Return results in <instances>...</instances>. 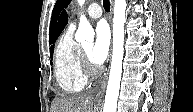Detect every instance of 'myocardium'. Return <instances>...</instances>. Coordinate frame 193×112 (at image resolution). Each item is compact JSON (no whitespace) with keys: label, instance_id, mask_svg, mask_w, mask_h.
I'll return each instance as SVG.
<instances>
[{"label":"myocardium","instance_id":"1","mask_svg":"<svg viewBox=\"0 0 193 112\" xmlns=\"http://www.w3.org/2000/svg\"><path fill=\"white\" fill-rule=\"evenodd\" d=\"M80 63L82 71L87 78H94L100 73V69L92 63L82 47H80Z\"/></svg>","mask_w":193,"mask_h":112}]
</instances>
